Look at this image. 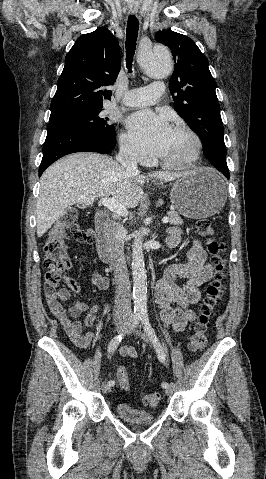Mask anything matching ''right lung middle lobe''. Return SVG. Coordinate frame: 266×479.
Listing matches in <instances>:
<instances>
[{
    "instance_id": "dd1d6c3e",
    "label": "right lung middle lobe",
    "mask_w": 266,
    "mask_h": 479,
    "mask_svg": "<svg viewBox=\"0 0 266 479\" xmlns=\"http://www.w3.org/2000/svg\"><path fill=\"white\" fill-rule=\"evenodd\" d=\"M102 110V107L73 108L52 112L49 124L68 125L100 134L114 135V126L108 124L109 119L102 116Z\"/></svg>"
}]
</instances>
